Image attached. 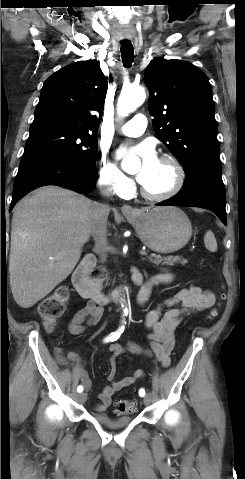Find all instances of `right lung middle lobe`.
I'll list each match as a JSON object with an SVG mask.
<instances>
[{"instance_id": "right-lung-middle-lobe-1", "label": "right lung middle lobe", "mask_w": 245, "mask_h": 479, "mask_svg": "<svg viewBox=\"0 0 245 479\" xmlns=\"http://www.w3.org/2000/svg\"><path fill=\"white\" fill-rule=\"evenodd\" d=\"M29 132L20 165L60 159L96 169V132L63 125L30 127Z\"/></svg>"}]
</instances>
